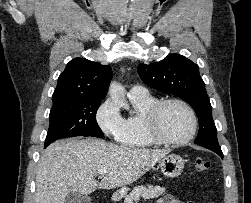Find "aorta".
I'll list each match as a JSON object with an SVG mask.
<instances>
[{
	"instance_id": "762f6f07",
	"label": "aorta",
	"mask_w": 251,
	"mask_h": 203,
	"mask_svg": "<svg viewBox=\"0 0 251 203\" xmlns=\"http://www.w3.org/2000/svg\"><path fill=\"white\" fill-rule=\"evenodd\" d=\"M109 95L114 103L126 110H129V104L125 99V89L120 83L112 82L110 84Z\"/></svg>"
}]
</instances>
